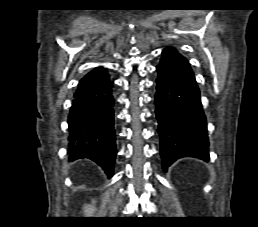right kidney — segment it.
<instances>
[{
  "instance_id": "1",
  "label": "right kidney",
  "mask_w": 258,
  "mask_h": 227,
  "mask_svg": "<svg viewBox=\"0 0 258 227\" xmlns=\"http://www.w3.org/2000/svg\"><path fill=\"white\" fill-rule=\"evenodd\" d=\"M95 211H96V207H95L94 200L92 201V204H86L83 206V212L86 217H92Z\"/></svg>"
}]
</instances>
